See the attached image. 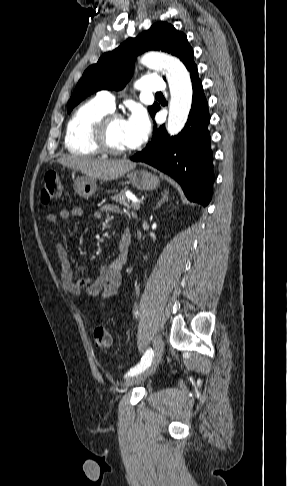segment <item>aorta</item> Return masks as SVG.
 Returning <instances> with one entry per match:
<instances>
[{"label":"aorta","instance_id":"762f6f07","mask_svg":"<svg viewBox=\"0 0 287 486\" xmlns=\"http://www.w3.org/2000/svg\"><path fill=\"white\" fill-rule=\"evenodd\" d=\"M143 63L167 71L174 83V91L170 104L167 131L178 134L185 126L192 103V84L188 71L183 63L172 56L150 55Z\"/></svg>","mask_w":287,"mask_h":486}]
</instances>
